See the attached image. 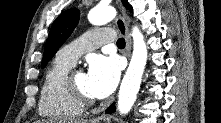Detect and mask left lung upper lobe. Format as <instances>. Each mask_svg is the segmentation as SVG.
Returning a JSON list of instances; mask_svg holds the SVG:
<instances>
[{
  "mask_svg": "<svg viewBox=\"0 0 221 123\" xmlns=\"http://www.w3.org/2000/svg\"><path fill=\"white\" fill-rule=\"evenodd\" d=\"M122 3L126 8L132 10L127 0H122ZM79 18L80 11L77 8H71L61 13L54 21L45 44L44 57L41 63L42 68L47 65L58 49L71 35L78 24Z\"/></svg>",
  "mask_w": 221,
  "mask_h": 123,
  "instance_id": "left-lung-upper-lobe-1",
  "label": "left lung upper lobe"
}]
</instances>
